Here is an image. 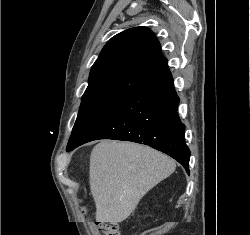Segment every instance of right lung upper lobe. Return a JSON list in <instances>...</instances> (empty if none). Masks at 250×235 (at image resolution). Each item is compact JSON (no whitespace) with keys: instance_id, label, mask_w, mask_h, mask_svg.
<instances>
[{"instance_id":"right-lung-upper-lobe-1","label":"right lung upper lobe","mask_w":250,"mask_h":235,"mask_svg":"<svg viewBox=\"0 0 250 235\" xmlns=\"http://www.w3.org/2000/svg\"><path fill=\"white\" fill-rule=\"evenodd\" d=\"M168 70L159 41L146 27L117 34L92 66L82 98L101 94L133 95Z\"/></svg>"}]
</instances>
